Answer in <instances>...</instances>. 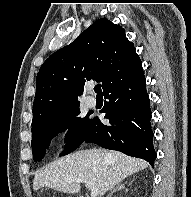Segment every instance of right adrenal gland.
I'll return each mask as SVG.
<instances>
[{"instance_id":"1","label":"right adrenal gland","mask_w":191,"mask_h":197,"mask_svg":"<svg viewBox=\"0 0 191 197\" xmlns=\"http://www.w3.org/2000/svg\"><path fill=\"white\" fill-rule=\"evenodd\" d=\"M125 186L123 183L117 184V186L110 192V194L108 195V197H111L115 192L124 189Z\"/></svg>"}]
</instances>
